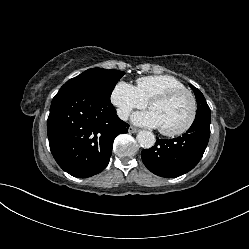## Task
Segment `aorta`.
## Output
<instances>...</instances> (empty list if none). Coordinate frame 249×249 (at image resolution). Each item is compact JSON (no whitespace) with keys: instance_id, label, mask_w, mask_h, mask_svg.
<instances>
[{"instance_id":"1","label":"aorta","mask_w":249,"mask_h":249,"mask_svg":"<svg viewBox=\"0 0 249 249\" xmlns=\"http://www.w3.org/2000/svg\"><path fill=\"white\" fill-rule=\"evenodd\" d=\"M138 143L146 149H149L155 144V136L152 132L142 130L137 134Z\"/></svg>"}]
</instances>
